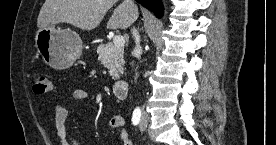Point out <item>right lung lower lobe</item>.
I'll list each match as a JSON object with an SVG mask.
<instances>
[{"label":"right lung lower lobe","instance_id":"obj_1","mask_svg":"<svg viewBox=\"0 0 276 145\" xmlns=\"http://www.w3.org/2000/svg\"><path fill=\"white\" fill-rule=\"evenodd\" d=\"M138 3L151 10L158 18L163 14L161 0H136Z\"/></svg>","mask_w":276,"mask_h":145}]
</instances>
